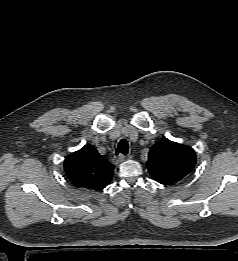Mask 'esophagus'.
Wrapping results in <instances>:
<instances>
[{"label":"esophagus","mask_w":238,"mask_h":261,"mask_svg":"<svg viewBox=\"0 0 238 261\" xmlns=\"http://www.w3.org/2000/svg\"><path fill=\"white\" fill-rule=\"evenodd\" d=\"M129 157H130V155L125 156V155H123V154H119L118 156L115 157V163H116V164H119V163H121L122 161H124L125 158H129Z\"/></svg>","instance_id":"1"}]
</instances>
